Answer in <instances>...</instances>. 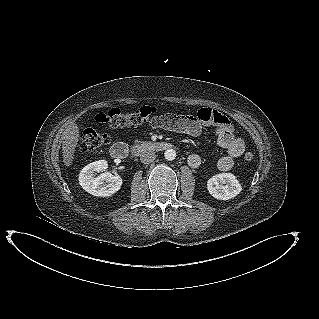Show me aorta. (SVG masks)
I'll list each match as a JSON object with an SVG mask.
<instances>
[{"label":"aorta","instance_id":"1","mask_svg":"<svg viewBox=\"0 0 319 319\" xmlns=\"http://www.w3.org/2000/svg\"><path fill=\"white\" fill-rule=\"evenodd\" d=\"M164 157L167 160H174L176 158V151L174 149H168L164 153Z\"/></svg>","mask_w":319,"mask_h":319}]
</instances>
